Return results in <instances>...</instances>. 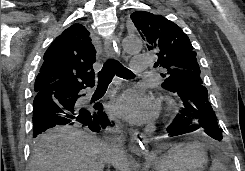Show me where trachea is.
I'll return each mask as SVG.
<instances>
[{
    "label": "trachea",
    "instance_id": "trachea-1",
    "mask_svg": "<svg viewBox=\"0 0 245 171\" xmlns=\"http://www.w3.org/2000/svg\"><path fill=\"white\" fill-rule=\"evenodd\" d=\"M115 74L124 79L134 77V74L119 61L109 59L106 61L102 71L98 75V86H108Z\"/></svg>",
    "mask_w": 245,
    "mask_h": 171
}]
</instances>
